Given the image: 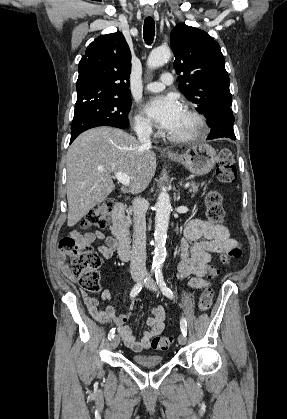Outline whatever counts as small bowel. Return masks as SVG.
<instances>
[{"label":"small bowel","instance_id":"c3829d8e","mask_svg":"<svg viewBox=\"0 0 287 419\" xmlns=\"http://www.w3.org/2000/svg\"><path fill=\"white\" fill-rule=\"evenodd\" d=\"M84 241L93 243L101 241L98 252L104 258H111L119 248V243L114 236H107L100 231L87 233L83 236ZM238 244L237 240L230 236L229 229L221 224H213L200 219L190 221L186 227L184 237L180 244V262L178 266L181 278L191 276L188 285L192 289L201 290L209 283L205 279L210 262L214 254L230 250ZM58 265L63 274L72 279V274L64 254L58 256ZM103 301H111L112 293L103 290L101 293ZM83 300L90 315L100 323L114 322L118 333L125 345L134 352H141L151 347L152 340L159 336L165 329V311L162 307L153 310L152 316L147 319L148 329L140 340L136 339L128 325L129 315L115 314L112 306L100 308L98 298L83 293Z\"/></svg>","mask_w":287,"mask_h":419}]
</instances>
